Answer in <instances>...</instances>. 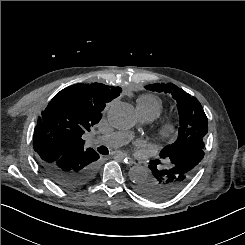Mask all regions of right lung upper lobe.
I'll list each match as a JSON object with an SVG mask.
<instances>
[{
  "label": "right lung upper lobe",
  "instance_id": "1",
  "mask_svg": "<svg viewBox=\"0 0 245 245\" xmlns=\"http://www.w3.org/2000/svg\"><path fill=\"white\" fill-rule=\"evenodd\" d=\"M121 91L120 87L79 83L56 94L34 129L33 148L38 161L53 163L69 153L93 150L84 149L82 135L100 121L106 103Z\"/></svg>",
  "mask_w": 245,
  "mask_h": 245
}]
</instances>
